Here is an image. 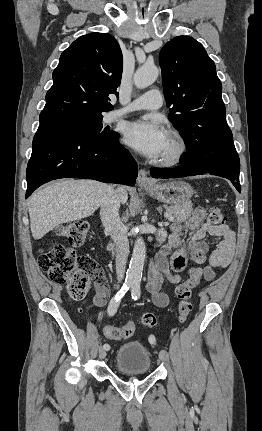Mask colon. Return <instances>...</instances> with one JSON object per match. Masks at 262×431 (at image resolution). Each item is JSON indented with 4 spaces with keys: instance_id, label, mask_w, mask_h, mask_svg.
Instances as JSON below:
<instances>
[{
    "instance_id": "5ec220e1",
    "label": "colon",
    "mask_w": 262,
    "mask_h": 431,
    "mask_svg": "<svg viewBox=\"0 0 262 431\" xmlns=\"http://www.w3.org/2000/svg\"><path fill=\"white\" fill-rule=\"evenodd\" d=\"M207 221L214 226H224L227 218L220 209L213 207L209 210ZM88 232V227L82 223L63 226L60 229V237L65 243L53 242L48 248L42 249L37 258L38 265L47 278L64 285L69 296L75 301L83 300L89 292L92 279L101 275V270L93 259L76 255L72 249L86 241ZM201 280L202 271L198 270L175 289L181 322H184L192 311V290ZM142 323L148 328H153L157 324V319L154 314L145 313L142 316ZM135 330V324L129 322L123 326H107L104 333L111 340H123L130 338Z\"/></svg>"
}]
</instances>
